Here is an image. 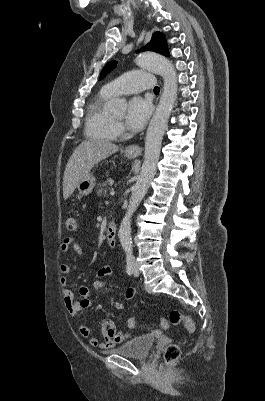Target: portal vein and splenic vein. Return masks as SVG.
I'll list each match as a JSON object with an SVG mask.
<instances>
[{
	"label": "portal vein and splenic vein",
	"mask_w": 265,
	"mask_h": 401,
	"mask_svg": "<svg viewBox=\"0 0 265 401\" xmlns=\"http://www.w3.org/2000/svg\"><path fill=\"white\" fill-rule=\"evenodd\" d=\"M111 196H112V197H115V196H116V191H115V190H112V191H111Z\"/></svg>",
	"instance_id": "portal-vein-and-splenic-vein-1"
}]
</instances>
